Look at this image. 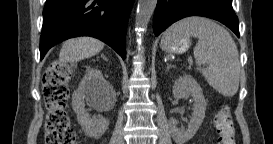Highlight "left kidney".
Masks as SVG:
<instances>
[{
  "label": "left kidney",
  "mask_w": 273,
  "mask_h": 144,
  "mask_svg": "<svg viewBox=\"0 0 273 144\" xmlns=\"http://www.w3.org/2000/svg\"><path fill=\"white\" fill-rule=\"evenodd\" d=\"M186 95H191L194 100L193 113L187 129H179L175 118L170 119L169 122L172 137L178 144H184L190 140L205 118L206 100L200 85L190 75L180 76L173 85L174 98L181 99Z\"/></svg>",
  "instance_id": "obj_1"
}]
</instances>
